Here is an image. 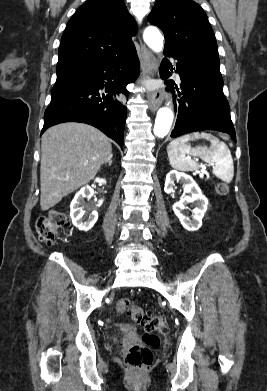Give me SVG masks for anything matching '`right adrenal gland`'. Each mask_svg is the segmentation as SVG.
Here are the masks:
<instances>
[{
    "label": "right adrenal gland",
    "instance_id": "right-adrenal-gland-1",
    "mask_svg": "<svg viewBox=\"0 0 267 391\" xmlns=\"http://www.w3.org/2000/svg\"><path fill=\"white\" fill-rule=\"evenodd\" d=\"M106 163H108V165L111 166V165H112V160H111V158H110L107 162H105L104 164H106Z\"/></svg>",
    "mask_w": 267,
    "mask_h": 391
}]
</instances>
